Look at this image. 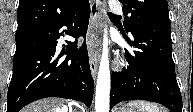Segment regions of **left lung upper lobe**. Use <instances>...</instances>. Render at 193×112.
<instances>
[{
	"label": "left lung upper lobe",
	"instance_id": "left-lung-upper-lobe-1",
	"mask_svg": "<svg viewBox=\"0 0 193 112\" xmlns=\"http://www.w3.org/2000/svg\"><path fill=\"white\" fill-rule=\"evenodd\" d=\"M123 4L126 32L158 22H170L167 0H119Z\"/></svg>",
	"mask_w": 193,
	"mask_h": 112
}]
</instances>
